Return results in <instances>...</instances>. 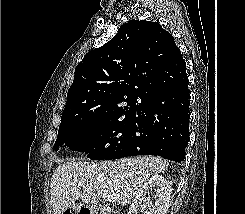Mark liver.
<instances>
[{
  "label": "liver",
  "instance_id": "obj_1",
  "mask_svg": "<svg viewBox=\"0 0 245 214\" xmlns=\"http://www.w3.org/2000/svg\"><path fill=\"white\" fill-rule=\"evenodd\" d=\"M169 163L159 157H133L90 163L67 161L51 177L53 214H63L75 201L95 205L103 195L115 194L121 206L130 204L142 184L164 172ZM76 184L73 185V184ZM78 183L83 184V193Z\"/></svg>",
  "mask_w": 245,
  "mask_h": 214
}]
</instances>
